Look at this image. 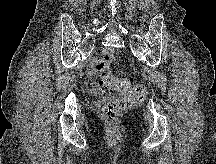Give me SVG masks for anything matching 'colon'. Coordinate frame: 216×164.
Instances as JSON below:
<instances>
[{
  "mask_svg": "<svg viewBox=\"0 0 216 164\" xmlns=\"http://www.w3.org/2000/svg\"><path fill=\"white\" fill-rule=\"evenodd\" d=\"M113 53L105 54L97 63V69L101 72V83L117 98L109 100L103 110L104 116L109 122H115L122 112L140 102L145 94V89L135 84L129 76L119 77L107 70L108 65L114 61Z\"/></svg>",
  "mask_w": 216,
  "mask_h": 164,
  "instance_id": "colon-1",
  "label": "colon"
}]
</instances>
